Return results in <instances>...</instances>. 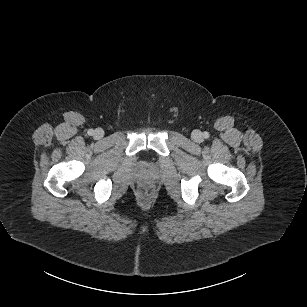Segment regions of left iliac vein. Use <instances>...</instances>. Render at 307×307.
<instances>
[{"label":"left iliac vein","instance_id":"obj_1","mask_svg":"<svg viewBox=\"0 0 307 307\" xmlns=\"http://www.w3.org/2000/svg\"><path fill=\"white\" fill-rule=\"evenodd\" d=\"M191 137H192V140L197 142V143H200V142L203 141V135L199 130H194L192 132Z\"/></svg>","mask_w":307,"mask_h":307}]
</instances>
